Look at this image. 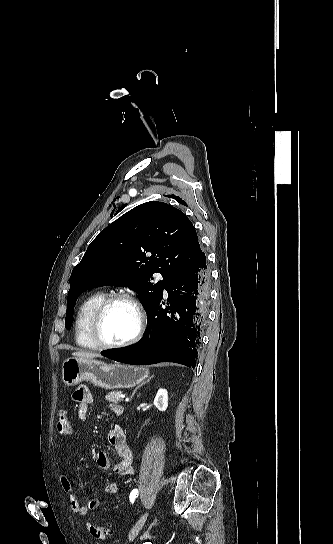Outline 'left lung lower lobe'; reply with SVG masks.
I'll return each mask as SVG.
<instances>
[{"label": "left lung lower lobe", "instance_id": "1", "mask_svg": "<svg viewBox=\"0 0 333 544\" xmlns=\"http://www.w3.org/2000/svg\"><path fill=\"white\" fill-rule=\"evenodd\" d=\"M166 291V308H162V296L148 309L149 325L140 341L101 354L128 364L166 361L194 368L210 291V271L204 252L171 281Z\"/></svg>", "mask_w": 333, "mask_h": 544}]
</instances>
